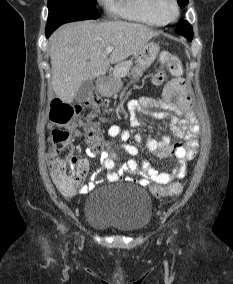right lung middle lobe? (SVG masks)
Segmentation results:
<instances>
[{"mask_svg":"<svg viewBox=\"0 0 233 284\" xmlns=\"http://www.w3.org/2000/svg\"><path fill=\"white\" fill-rule=\"evenodd\" d=\"M48 9L46 31L70 21L99 18L96 0H48Z\"/></svg>","mask_w":233,"mask_h":284,"instance_id":"obj_1","label":"right lung middle lobe"}]
</instances>
